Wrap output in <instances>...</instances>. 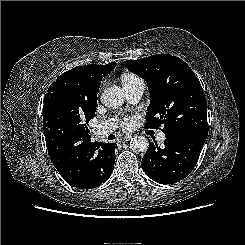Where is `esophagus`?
<instances>
[{
	"instance_id": "1",
	"label": "esophagus",
	"mask_w": 245,
	"mask_h": 245,
	"mask_svg": "<svg viewBox=\"0 0 245 245\" xmlns=\"http://www.w3.org/2000/svg\"><path fill=\"white\" fill-rule=\"evenodd\" d=\"M122 139L124 140V142H128L132 139V136H125Z\"/></svg>"
}]
</instances>
